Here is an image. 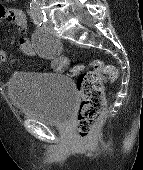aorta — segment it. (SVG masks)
<instances>
[{
	"instance_id": "aorta-1",
	"label": "aorta",
	"mask_w": 143,
	"mask_h": 170,
	"mask_svg": "<svg viewBox=\"0 0 143 170\" xmlns=\"http://www.w3.org/2000/svg\"><path fill=\"white\" fill-rule=\"evenodd\" d=\"M30 12L31 16L35 18H42L44 16V11L41 7L39 0H31Z\"/></svg>"
}]
</instances>
